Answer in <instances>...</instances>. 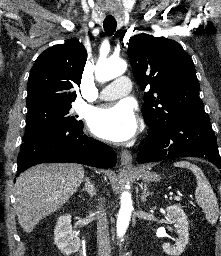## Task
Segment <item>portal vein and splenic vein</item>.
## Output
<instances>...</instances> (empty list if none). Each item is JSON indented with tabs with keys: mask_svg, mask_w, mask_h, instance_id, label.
I'll list each match as a JSON object with an SVG mask.
<instances>
[{
	"mask_svg": "<svg viewBox=\"0 0 221 256\" xmlns=\"http://www.w3.org/2000/svg\"><path fill=\"white\" fill-rule=\"evenodd\" d=\"M174 200L180 201V200H181V197H180V196H174Z\"/></svg>",
	"mask_w": 221,
	"mask_h": 256,
	"instance_id": "obj_1",
	"label": "portal vein and splenic vein"
}]
</instances>
